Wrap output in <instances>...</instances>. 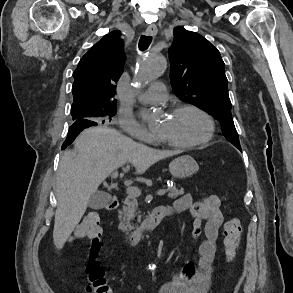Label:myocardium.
<instances>
[{
    "label": "myocardium",
    "mask_w": 293,
    "mask_h": 293,
    "mask_svg": "<svg viewBox=\"0 0 293 293\" xmlns=\"http://www.w3.org/2000/svg\"><path fill=\"white\" fill-rule=\"evenodd\" d=\"M184 111H194L205 119L207 123V132L205 136L194 142H180L163 135H159V140L165 145L177 147V148H195V147H199L208 143L214 137L215 131H216L215 122L212 116L209 113H207L205 110H203L202 108L193 104L179 105L171 109L169 111V115L173 116Z\"/></svg>",
    "instance_id": "1"
}]
</instances>
